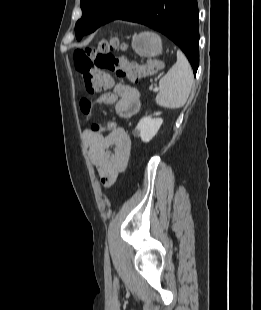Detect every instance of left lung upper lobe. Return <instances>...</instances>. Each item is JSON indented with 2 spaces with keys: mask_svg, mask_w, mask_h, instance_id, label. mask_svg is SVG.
Here are the masks:
<instances>
[{
  "mask_svg": "<svg viewBox=\"0 0 261 310\" xmlns=\"http://www.w3.org/2000/svg\"><path fill=\"white\" fill-rule=\"evenodd\" d=\"M131 0H81L82 17L75 26L76 38L92 23H108L121 15Z\"/></svg>",
  "mask_w": 261,
  "mask_h": 310,
  "instance_id": "left-lung-upper-lobe-1",
  "label": "left lung upper lobe"
}]
</instances>
